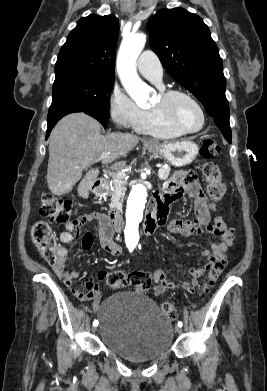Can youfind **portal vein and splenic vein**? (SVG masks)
<instances>
[{
    "label": "portal vein and splenic vein",
    "instance_id": "obj_1",
    "mask_svg": "<svg viewBox=\"0 0 267 391\" xmlns=\"http://www.w3.org/2000/svg\"><path fill=\"white\" fill-rule=\"evenodd\" d=\"M108 155H109V153H103V154L100 155V157H98L96 160L92 161L91 163L96 162L98 160H102V159L108 157ZM157 167L159 168V170L161 169V165L160 164H158ZM111 176L114 179H120V178H125L126 174L124 172L118 171L116 173H112Z\"/></svg>",
    "mask_w": 267,
    "mask_h": 391
}]
</instances>
